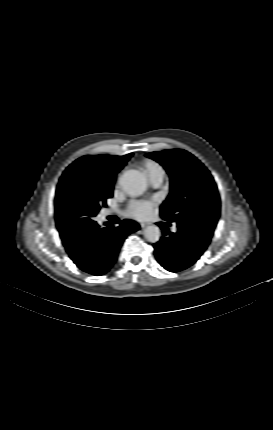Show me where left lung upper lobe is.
Instances as JSON below:
<instances>
[{
    "label": "left lung upper lobe",
    "mask_w": 273,
    "mask_h": 430,
    "mask_svg": "<svg viewBox=\"0 0 273 430\" xmlns=\"http://www.w3.org/2000/svg\"><path fill=\"white\" fill-rule=\"evenodd\" d=\"M146 156L159 162L170 176L171 191L160 207L161 216L187 226L209 244L220 215V196L210 172L182 149L152 152Z\"/></svg>",
    "instance_id": "5c2ea615"
}]
</instances>
